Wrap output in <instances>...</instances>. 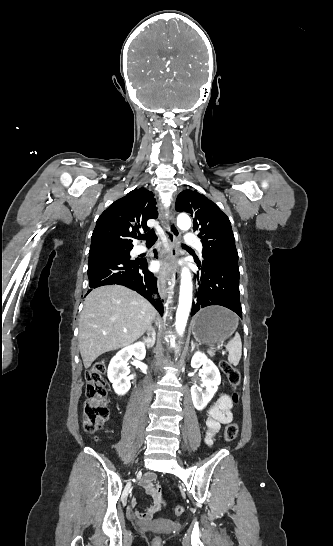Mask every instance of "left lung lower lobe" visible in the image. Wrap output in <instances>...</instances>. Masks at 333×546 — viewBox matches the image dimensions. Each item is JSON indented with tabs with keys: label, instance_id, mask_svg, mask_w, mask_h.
Listing matches in <instances>:
<instances>
[{
	"label": "left lung lower lobe",
	"instance_id": "0a47b994",
	"mask_svg": "<svg viewBox=\"0 0 333 546\" xmlns=\"http://www.w3.org/2000/svg\"><path fill=\"white\" fill-rule=\"evenodd\" d=\"M195 275L198 288L192 304L191 316L200 308L210 305L224 306L242 318L239 291L238 263H211L198 265Z\"/></svg>",
	"mask_w": 333,
	"mask_h": 546
}]
</instances>
